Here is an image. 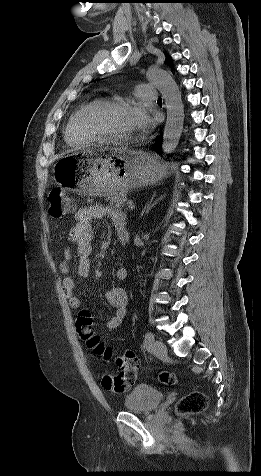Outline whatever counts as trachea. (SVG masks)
Returning <instances> with one entry per match:
<instances>
[{
    "mask_svg": "<svg viewBox=\"0 0 261 476\" xmlns=\"http://www.w3.org/2000/svg\"><path fill=\"white\" fill-rule=\"evenodd\" d=\"M158 102H162V98H159V99H158Z\"/></svg>",
    "mask_w": 261,
    "mask_h": 476,
    "instance_id": "trachea-1",
    "label": "trachea"
}]
</instances>
